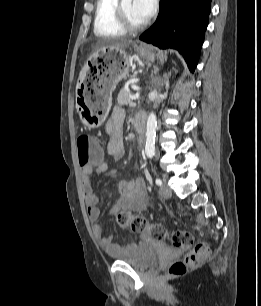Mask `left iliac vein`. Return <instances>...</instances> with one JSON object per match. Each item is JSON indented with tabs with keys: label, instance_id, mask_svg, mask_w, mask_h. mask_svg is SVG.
<instances>
[{
	"label": "left iliac vein",
	"instance_id": "obj_1",
	"mask_svg": "<svg viewBox=\"0 0 261 306\" xmlns=\"http://www.w3.org/2000/svg\"><path fill=\"white\" fill-rule=\"evenodd\" d=\"M160 196L164 199H168L171 197L172 191L170 186L166 181L163 182V184L160 186Z\"/></svg>",
	"mask_w": 261,
	"mask_h": 306
}]
</instances>
